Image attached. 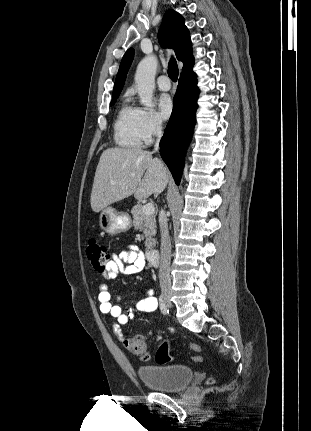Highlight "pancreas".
Returning a JSON list of instances; mask_svg holds the SVG:
<instances>
[{
  "instance_id": "pancreas-1",
  "label": "pancreas",
  "mask_w": 311,
  "mask_h": 431,
  "mask_svg": "<svg viewBox=\"0 0 311 431\" xmlns=\"http://www.w3.org/2000/svg\"><path fill=\"white\" fill-rule=\"evenodd\" d=\"M131 214L133 217L132 223L134 225V229H140V231H143L144 233V243L146 245V251H149V249H153L156 243L154 235L157 231L155 225L156 219L154 214H150V216H145V214H143L142 204H136V206H133Z\"/></svg>"
}]
</instances>
